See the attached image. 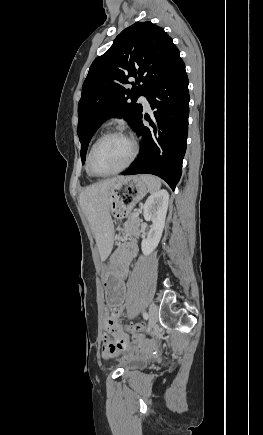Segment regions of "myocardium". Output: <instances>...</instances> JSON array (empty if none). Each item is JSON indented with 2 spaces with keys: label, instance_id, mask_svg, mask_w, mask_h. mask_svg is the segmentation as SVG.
<instances>
[{
  "label": "myocardium",
  "instance_id": "1",
  "mask_svg": "<svg viewBox=\"0 0 263 435\" xmlns=\"http://www.w3.org/2000/svg\"><path fill=\"white\" fill-rule=\"evenodd\" d=\"M113 136H118V137H123L125 139H127L130 143H131V153L129 158L127 159V161L118 169H115L113 171L110 172H99L97 170H95V168L93 167L92 164V157H93V153L96 149V147L105 139L109 138V137H113ZM138 153V144L135 141V139L130 136L129 134H127L126 132L122 131V130H117V129H113V130H109L105 133H103L92 145L88 156H87V168L90 171L91 174H93L94 176L97 177H107V176H111V175H115L118 173L123 172L125 169H127L132 162L134 161V159L136 158Z\"/></svg>",
  "mask_w": 263,
  "mask_h": 435
}]
</instances>
